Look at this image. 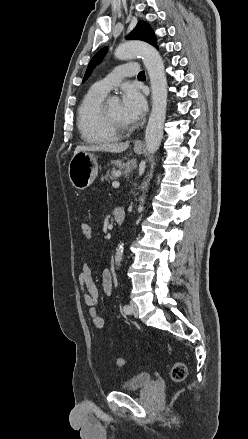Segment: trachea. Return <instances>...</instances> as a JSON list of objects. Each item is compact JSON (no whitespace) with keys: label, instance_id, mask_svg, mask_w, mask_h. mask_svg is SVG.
I'll list each match as a JSON object with an SVG mask.
<instances>
[{"label":"trachea","instance_id":"trachea-1","mask_svg":"<svg viewBox=\"0 0 248 439\" xmlns=\"http://www.w3.org/2000/svg\"><path fill=\"white\" fill-rule=\"evenodd\" d=\"M138 77H145V72H144V71H141V72L138 74Z\"/></svg>","mask_w":248,"mask_h":439}]
</instances>
